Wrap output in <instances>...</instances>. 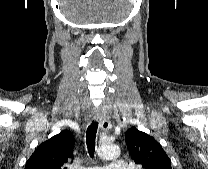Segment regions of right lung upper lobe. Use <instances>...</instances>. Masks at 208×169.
<instances>
[{
    "label": "right lung upper lobe",
    "mask_w": 208,
    "mask_h": 169,
    "mask_svg": "<svg viewBox=\"0 0 208 169\" xmlns=\"http://www.w3.org/2000/svg\"><path fill=\"white\" fill-rule=\"evenodd\" d=\"M74 137L64 130L40 144L25 169H67L73 160Z\"/></svg>",
    "instance_id": "1"
}]
</instances>
